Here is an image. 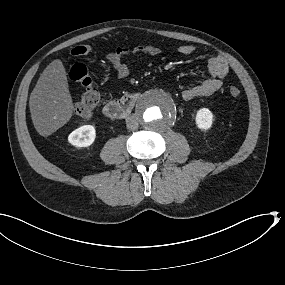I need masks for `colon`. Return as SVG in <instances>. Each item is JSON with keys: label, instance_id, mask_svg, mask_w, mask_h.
<instances>
[{"label": "colon", "instance_id": "colon-1", "mask_svg": "<svg viewBox=\"0 0 285 285\" xmlns=\"http://www.w3.org/2000/svg\"><path fill=\"white\" fill-rule=\"evenodd\" d=\"M93 49L91 44H81L71 50L73 57H82L90 53ZM69 76L71 80L79 84L83 91L79 100L75 104V113L81 118L90 117L100 105L101 96L93 83V79L84 64L76 63L72 66ZM229 93L233 97H238L241 93L237 86H231Z\"/></svg>", "mask_w": 285, "mask_h": 285}]
</instances>
